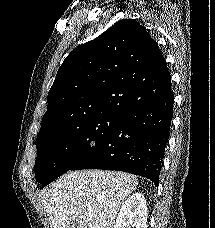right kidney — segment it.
Listing matches in <instances>:
<instances>
[{"label": "right kidney", "mask_w": 215, "mask_h": 228, "mask_svg": "<svg viewBox=\"0 0 215 228\" xmlns=\"http://www.w3.org/2000/svg\"><path fill=\"white\" fill-rule=\"evenodd\" d=\"M145 196L135 192L121 206L114 228H147Z\"/></svg>", "instance_id": "obj_1"}]
</instances>
